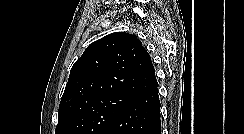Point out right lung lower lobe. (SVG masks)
<instances>
[{"label":"right lung lower lobe","instance_id":"1","mask_svg":"<svg viewBox=\"0 0 244 134\" xmlns=\"http://www.w3.org/2000/svg\"><path fill=\"white\" fill-rule=\"evenodd\" d=\"M158 86L133 97L101 134H160Z\"/></svg>","mask_w":244,"mask_h":134}]
</instances>
